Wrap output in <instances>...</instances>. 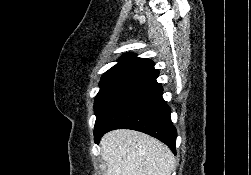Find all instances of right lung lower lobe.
Segmentation results:
<instances>
[{
    "instance_id": "right-lung-lower-lobe-1",
    "label": "right lung lower lobe",
    "mask_w": 251,
    "mask_h": 175,
    "mask_svg": "<svg viewBox=\"0 0 251 175\" xmlns=\"http://www.w3.org/2000/svg\"><path fill=\"white\" fill-rule=\"evenodd\" d=\"M163 88L156 78L137 81L108 107L94 139L99 143L113 129H134L164 142L176 154L177 132L170 117V107L162 98Z\"/></svg>"
}]
</instances>
